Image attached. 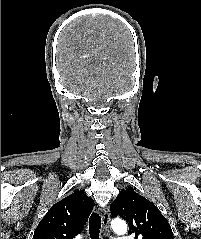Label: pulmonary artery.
<instances>
[{"instance_id":"obj_1","label":"pulmonary artery","mask_w":201,"mask_h":239,"mask_svg":"<svg viewBox=\"0 0 201 239\" xmlns=\"http://www.w3.org/2000/svg\"><path fill=\"white\" fill-rule=\"evenodd\" d=\"M115 239H131L130 236H118Z\"/></svg>"}]
</instances>
